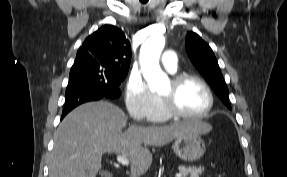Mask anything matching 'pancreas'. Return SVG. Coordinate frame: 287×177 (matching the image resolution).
I'll return each mask as SVG.
<instances>
[{
	"label": "pancreas",
	"instance_id": "cf45deb5",
	"mask_svg": "<svg viewBox=\"0 0 287 177\" xmlns=\"http://www.w3.org/2000/svg\"><path fill=\"white\" fill-rule=\"evenodd\" d=\"M179 171L184 177H199L203 173L204 168L180 166Z\"/></svg>",
	"mask_w": 287,
	"mask_h": 177
}]
</instances>
